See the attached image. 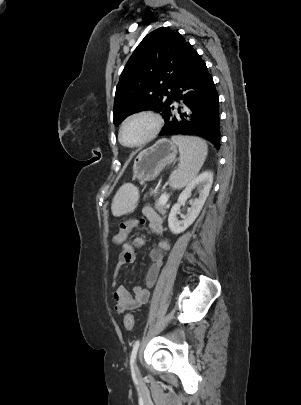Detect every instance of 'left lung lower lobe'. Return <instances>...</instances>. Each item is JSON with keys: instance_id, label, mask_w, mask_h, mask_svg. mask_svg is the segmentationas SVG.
Instances as JSON below:
<instances>
[{"instance_id": "0a47b994", "label": "left lung lower lobe", "mask_w": 301, "mask_h": 405, "mask_svg": "<svg viewBox=\"0 0 301 405\" xmlns=\"http://www.w3.org/2000/svg\"><path fill=\"white\" fill-rule=\"evenodd\" d=\"M174 99L182 100V104L178 106L176 113L172 103L160 135L199 136L219 149L221 135L218 93L205 62L196 51L177 85Z\"/></svg>"}]
</instances>
